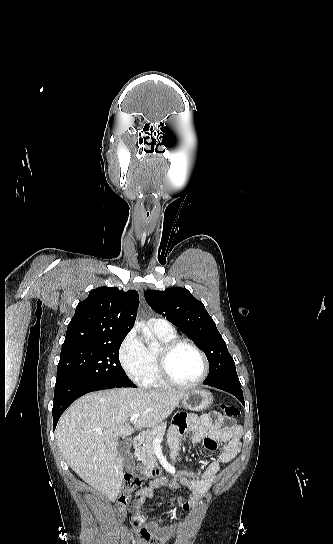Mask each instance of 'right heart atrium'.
I'll return each mask as SVG.
<instances>
[{
	"instance_id": "1",
	"label": "right heart atrium",
	"mask_w": 333,
	"mask_h": 544,
	"mask_svg": "<svg viewBox=\"0 0 333 544\" xmlns=\"http://www.w3.org/2000/svg\"><path fill=\"white\" fill-rule=\"evenodd\" d=\"M118 359L128 378L141 384L147 369V350L135 330H130L122 340Z\"/></svg>"
}]
</instances>
